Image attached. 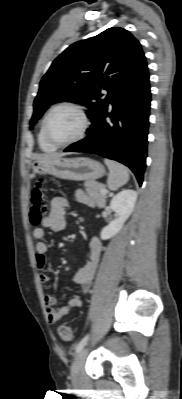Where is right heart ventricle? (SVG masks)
Listing matches in <instances>:
<instances>
[{
    "instance_id": "e07e8e85",
    "label": "right heart ventricle",
    "mask_w": 182,
    "mask_h": 399,
    "mask_svg": "<svg viewBox=\"0 0 182 399\" xmlns=\"http://www.w3.org/2000/svg\"><path fill=\"white\" fill-rule=\"evenodd\" d=\"M38 144H39L40 148L45 152H52L56 149V147L52 146L51 144H49L46 141V139L43 135V121L40 125L39 132H38Z\"/></svg>"
}]
</instances>
